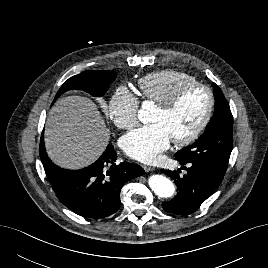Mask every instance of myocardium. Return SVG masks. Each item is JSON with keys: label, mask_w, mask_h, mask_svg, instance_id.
Masks as SVG:
<instances>
[{"label": "myocardium", "mask_w": 268, "mask_h": 268, "mask_svg": "<svg viewBox=\"0 0 268 268\" xmlns=\"http://www.w3.org/2000/svg\"><path fill=\"white\" fill-rule=\"evenodd\" d=\"M192 88H201L207 92V94H208L207 108H206V111H205L202 119L199 121L197 126L187 136L179 138V139H172L173 143L177 146H186V145L191 144L203 132V130L205 129V127L209 123L211 116H212V113H213L214 103H215L214 93L209 86H207L203 83H200L197 81L189 82V83H185V84L181 85L180 87H178L167 101L157 105V108L161 112L168 113L176 107V105L178 104L182 95L186 91H188Z\"/></svg>", "instance_id": "f54148a6"}]
</instances>
